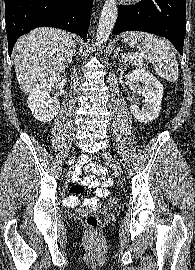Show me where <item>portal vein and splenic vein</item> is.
Masks as SVG:
<instances>
[{
  "label": "portal vein and splenic vein",
  "instance_id": "1",
  "mask_svg": "<svg viewBox=\"0 0 195 270\" xmlns=\"http://www.w3.org/2000/svg\"><path fill=\"white\" fill-rule=\"evenodd\" d=\"M121 57L122 58H129V57H131V58H142V57H144V54H130V55H127V54H121Z\"/></svg>",
  "mask_w": 195,
  "mask_h": 270
}]
</instances>
